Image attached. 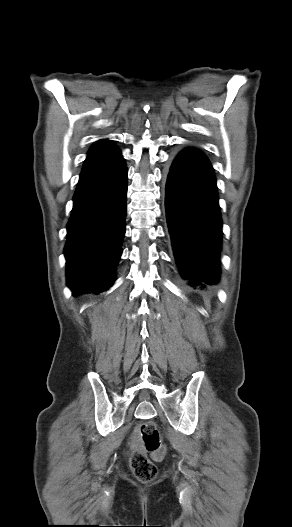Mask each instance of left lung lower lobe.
I'll return each instance as SVG.
<instances>
[{
    "mask_svg": "<svg viewBox=\"0 0 292 527\" xmlns=\"http://www.w3.org/2000/svg\"><path fill=\"white\" fill-rule=\"evenodd\" d=\"M166 214L177 264L192 286L219 277L222 220L215 175L206 156L189 148L174 159L166 184Z\"/></svg>",
    "mask_w": 292,
    "mask_h": 527,
    "instance_id": "obj_1",
    "label": "left lung lower lobe"
}]
</instances>
